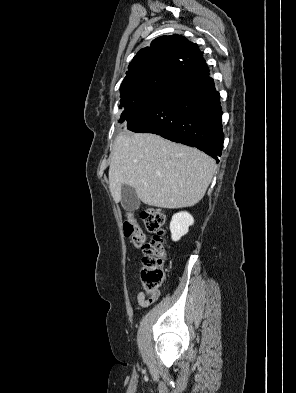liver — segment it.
Wrapping results in <instances>:
<instances>
[{
  "instance_id": "obj_1",
  "label": "liver",
  "mask_w": 296,
  "mask_h": 393,
  "mask_svg": "<svg viewBox=\"0 0 296 393\" xmlns=\"http://www.w3.org/2000/svg\"><path fill=\"white\" fill-rule=\"evenodd\" d=\"M215 161L198 149L152 133L125 131L114 141L109 188L115 202L123 185L146 205L183 208L197 204L215 173Z\"/></svg>"
}]
</instances>
